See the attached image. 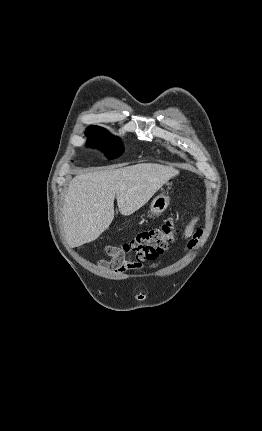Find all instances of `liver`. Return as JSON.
<instances>
[{"instance_id": "obj_1", "label": "liver", "mask_w": 262, "mask_h": 431, "mask_svg": "<svg viewBox=\"0 0 262 431\" xmlns=\"http://www.w3.org/2000/svg\"><path fill=\"white\" fill-rule=\"evenodd\" d=\"M179 171L156 163H139L78 175L70 182L63 205V229L71 247L95 241L114 218L116 197L122 215H131Z\"/></svg>"}]
</instances>
